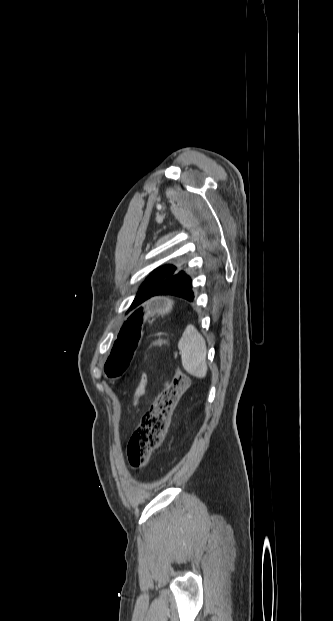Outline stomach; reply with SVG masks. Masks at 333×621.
<instances>
[{
    "instance_id": "0dacf381",
    "label": "stomach",
    "mask_w": 333,
    "mask_h": 621,
    "mask_svg": "<svg viewBox=\"0 0 333 621\" xmlns=\"http://www.w3.org/2000/svg\"><path fill=\"white\" fill-rule=\"evenodd\" d=\"M170 303L163 298H155L144 308H138L132 312L128 320L123 324L121 331L114 336L106 355L104 372L110 379H121L125 376L127 368H131L140 345V329L143 317L170 312Z\"/></svg>"
}]
</instances>
